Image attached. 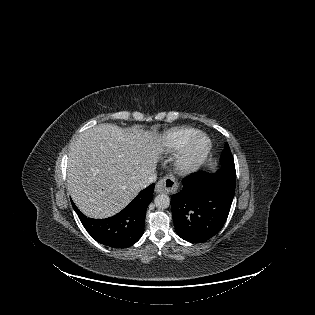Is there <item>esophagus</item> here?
Wrapping results in <instances>:
<instances>
[{
  "mask_svg": "<svg viewBox=\"0 0 315 315\" xmlns=\"http://www.w3.org/2000/svg\"><path fill=\"white\" fill-rule=\"evenodd\" d=\"M177 189L178 184L175 181V178L171 175L160 179L155 186L156 193H172L177 191Z\"/></svg>",
  "mask_w": 315,
  "mask_h": 315,
  "instance_id": "esophagus-1",
  "label": "esophagus"
}]
</instances>
